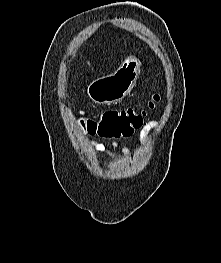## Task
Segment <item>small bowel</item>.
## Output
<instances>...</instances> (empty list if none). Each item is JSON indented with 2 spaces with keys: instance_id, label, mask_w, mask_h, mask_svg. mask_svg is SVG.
<instances>
[{
  "instance_id": "c3829d8e",
  "label": "small bowel",
  "mask_w": 221,
  "mask_h": 263,
  "mask_svg": "<svg viewBox=\"0 0 221 263\" xmlns=\"http://www.w3.org/2000/svg\"><path fill=\"white\" fill-rule=\"evenodd\" d=\"M153 126H154V124H149L141 130V133H140L141 142L145 143L147 141V134L153 128ZM110 146L113 148H119L124 155L130 154L129 148L126 146H122L117 141L111 142ZM107 149H108V146L104 143H95L94 144V151L97 154L103 155L107 152Z\"/></svg>"
}]
</instances>
